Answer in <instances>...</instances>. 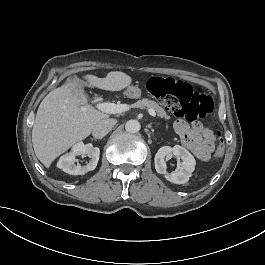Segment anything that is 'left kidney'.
I'll use <instances>...</instances> for the list:
<instances>
[{
	"label": "left kidney",
	"mask_w": 265,
	"mask_h": 265,
	"mask_svg": "<svg viewBox=\"0 0 265 265\" xmlns=\"http://www.w3.org/2000/svg\"><path fill=\"white\" fill-rule=\"evenodd\" d=\"M175 155L180 157L183 162L175 171L168 173L166 171L167 166L164 158L172 157ZM155 169L158 173L164 174L165 178L175 184H184L192 176V172L195 169L196 161L192 154L184 147L175 145L173 148L170 146L161 147L154 158Z\"/></svg>",
	"instance_id": "5707ae66"
}]
</instances>
